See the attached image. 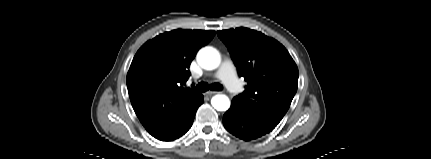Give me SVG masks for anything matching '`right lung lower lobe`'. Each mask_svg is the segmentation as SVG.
Instances as JSON below:
<instances>
[{
	"instance_id": "98d812e1",
	"label": "right lung lower lobe",
	"mask_w": 431,
	"mask_h": 159,
	"mask_svg": "<svg viewBox=\"0 0 431 159\" xmlns=\"http://www.w3.org/2000/svg\"><path fill=\"white\" fill-rule=\"evenodd\" d=\"M203 102V95H197L185 106L170 125L154 137L162 141H173L184 135L192 126L196 111Z\"/></svg>"
}]
</instances>
